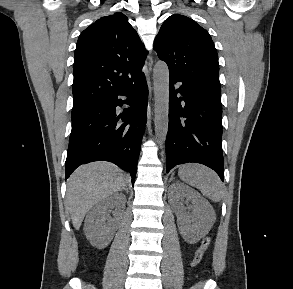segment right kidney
<instances>
[{
	"mask_svg": "<svg viewBox=\"0 0 293 289\" xmlns=\"http://www.w3.org/2000/svg\"><path fill=\"white\" fill-rule=\"evenodd\" d=\"M126 197L122 194H115L97 203L88 213L85 219L84 230L86 237L97 247H105L109 244L115 230L117 222L125 208ZM113 211V218H109L107 213ZM107 221V222H106Z\"/></svg>",
	"mask_w": 293,
	"mask_h": 289,
	"instance_id": "obj_1",
	"label": "right kidney"
}]
</instances>
